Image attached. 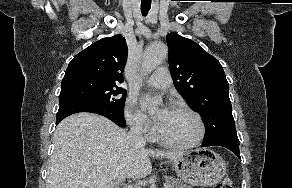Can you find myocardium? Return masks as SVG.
I'll return each mask as SVG.
<instances>
[{
	"label": "myocardium",
	"mask_w": 292,
	"mask_h": 188,
	"mask_svg": "<svg viewBox=\"0 0 292 188\" xmlns=\"http://www.w3.org/2000/svg\"><path fill=\"white\" fill-rule=\"evenodd\" d=\"M171 109L173 110H178V111H183L186 112L190 115H192L198 124V134L196 135V137L189 142L186 143H175L172 141L167 140L166 138H164L159 130L158 127H156V139L165 147L168 148H172V149H188V148H192L197 146L199 143H201L206 135V125L204 122V119L202 118V116L200 115V113H198L197 111H195L194 109H192L191 107L185 105V104H175L171 107Z\"/></svg>",
	"instance_id": "obj_1"
}]
</instances>
